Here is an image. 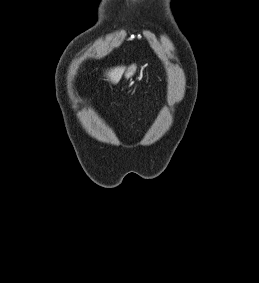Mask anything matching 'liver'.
Returning <instances> with one entry per match:
<instances>
[{"instance_id": "liver-1", "label": "liver", "mask_w": 259, "mask_h": 283, "mask_svg": "<svg viewBox=\"0 0 259 283\" xmlns=\"http://www.w3.org/2000/svg\"><path fill=\"white\" fill-rule=\"evenodd\" d=\"M124 71H125V67L123 66L113 68L107 73V77L113 84H116L120 80Z\"/></svg>"}]
</instances>
